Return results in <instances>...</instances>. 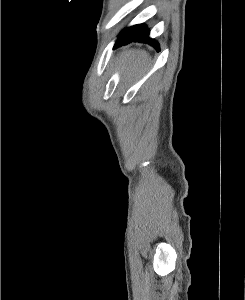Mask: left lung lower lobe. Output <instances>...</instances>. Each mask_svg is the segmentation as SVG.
Masks as SVG:
<instances>
[{
  "label": "left lung lower lobe",
  "instance_id": "0a47b994",
  "mask_svg": "<svg viewBox=\"0 0 245 300\" xmlns=\"http://www.w3.org/2000/svg\"><path fill=\"white\" fill-rule=\"evenodd\" d=\"M131 42L149 43L159 51V44L149 37V31L144 24L133 25L124 29L118 36L115 47L127 45Z\"/></svg>",
  "mask_w": 245,
  "mask_h": 300
}]
</instances>
